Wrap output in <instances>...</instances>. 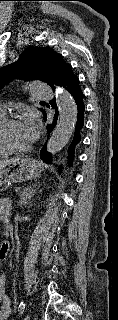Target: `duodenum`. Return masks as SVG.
<instances>
[{"instance_id":"1","label":"duodenum","mask_w":118,"mask_h":320,"mask_svg":"<svg viewBox=\"0 0 118 320\" xmlns=\"http://www.w3.org/2000/svg\"><path fill=\"white\" fill-rule=\"evenodd\" d=\"M0 220H2L4 223L7 222V216L6 215H1Z\"/></svg>"}]
</instances>
